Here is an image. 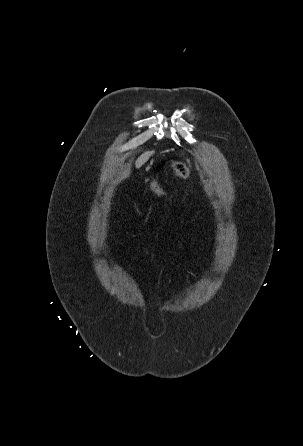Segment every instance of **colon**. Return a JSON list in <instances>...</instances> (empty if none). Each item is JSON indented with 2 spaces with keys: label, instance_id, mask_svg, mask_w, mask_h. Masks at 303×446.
<instances>
[{
  "label": "colon",
  "instance_id": "colon-1",
  "mask_svg": "<svg viewBox=\"0 0 303 446\" xmlns=\"http://www.w3.org/2000/svg\"><path fill=\"white\" fill-rule=\"evenodd\" d=\"M172 169L176 174H178L179 176H181L184 179H187L189 177V170L182 163H179V162L173 163ZM151 191H152V193H154L156 195H160L165 192V183L162 180V178L159 177L154 180V182L152 183Z\"/></svg>",
  "mask_w": 303,
  "mask_h": 446
}]
</instances>
